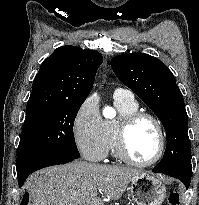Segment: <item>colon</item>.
<instances>
[{"mask_svg":"<svg viewBox=\"0 0 199 205\" xmlns=\"http://www.w3.org/2000/svg\"><path fill=\"white\" fill-rule=\"evenodd\" d=\"M168 205H180V195L178 191H171L168 195ZM25 205L27 203H24Z\"/></svg>","mask_w":199,"mask_h":205,"instance_id":"colon-1","label":"colon"}]
</instances>
